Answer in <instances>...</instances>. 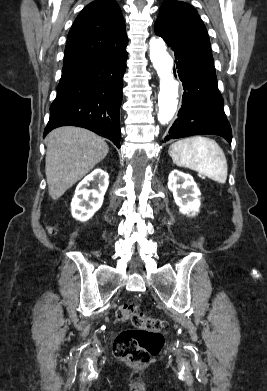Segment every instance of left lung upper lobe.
<instances>
[{
    "instance_id": "left-lung-upper-lobe-1",
    "label": "left lung upper lobe",
    "mask_w": 267,
    "mask_h": 391,
    "mask_svg": "<svg viewBox=\"0 0 267 391\" xmlns=\"http://www.w3.org/2000/svg\"><path fill=\"white\" fill-rule=\"evenodd\" d=\"M155 33L211 54L207 30L197 11L185 2L165 0L162 3Z\"/></svg>"
}]
</instances>
